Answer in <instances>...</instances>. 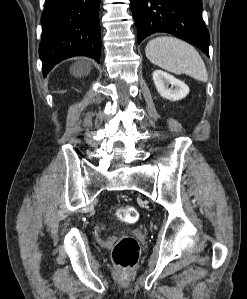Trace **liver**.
Wrapping results in <instances>:
<instances>
[{
	"instance_id": "liver-1",
	"label": "liver",
	"mask_w": 247,
	"mask_h": 299,
	"mask_svg": "<svg viewBox=\"0 0 247 299\" xmlns=\"http://www.w3.org/2000/svg\"><path fill=\"white\" fill-rule=\"evenodd\" d=\"M91 67L86 62H79L71 68V72L74 76L86 75L90 72Z\"/></svg>"
}]
</instances>
